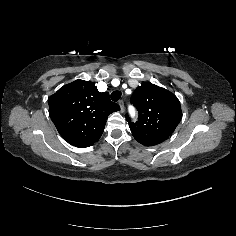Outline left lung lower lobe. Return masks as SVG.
I'll return each mask as SVG.
<instances>
[{
  "instance_id": "obj_1",
  "label": "left lung lower lobe",
  "mask_w": 236,
  "mask_h": 236,
  "mask_svg": "<svg viewBox=\"0 0 236 236\" xmlns=\"http://www.w3.org/2000/svg\"><path fill=\"white\" fill-rule=\"evenodd\" d=\"M137 141L145 146H152V145H157V144L161 143V142H157V141H147V140H137Z\"/></svg>"
}]
</instances>
